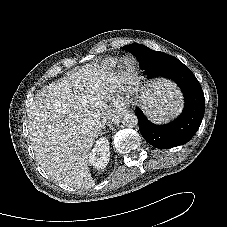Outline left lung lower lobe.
<instances>
[{
  "instance_id": "1",
  "label": "left lung lower lobe",
  "mask_w": 227,
  "mask_h": 227,
  "mask_svg": "<svg viewBox=\"0 0 227 227\" xmlns=\"http://www.w3.org/2000/svg\"><path fill=\"white\" fill-rule=\"evenodd\" d=\"M130 52L136 56L148 78L164 77L175 81L185 98L181 115L165 125L151 123L137 107L135 113L141 135L149 144L159 149L187 143L199 129L205 111V98L199 81L179 60L168 64L158 63L162 58L161 52L141 44L131 48Z\"/></svg>"
}]
</instances>
